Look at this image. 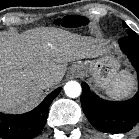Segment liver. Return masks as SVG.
I'll list each match as a JSON object with an SVG mask.
<instances>
[{
    "instance_id": "liver-1",
    "label": "liver",
    "mask_w": 139,
    "mask_h": 139,
    "mask_svg": "<svg viewBox=\"0 0 139 139\" xmlns=\"http://www.w3.org/2000/svg\"><path fill=\"white\" fill-rule=\"evenodd\" d=\"M97 40L58 28H36L24 35L0 34V111L23 112L40 100L39 81L59 83L70 61L94 57Z\"/></svg>"
}]
</instances>
